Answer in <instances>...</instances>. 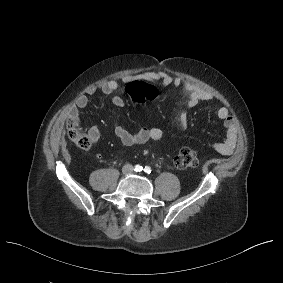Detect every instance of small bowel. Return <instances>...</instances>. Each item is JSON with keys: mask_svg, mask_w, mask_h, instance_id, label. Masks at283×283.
Segmentation results:
<instances>
[{"mask_svg": "<svg viewBox=\"0 0 283 283\" xmlns=\"http://www.w3.org/2000/svg\"><path fill=\"white\" fill-rule=\"evenodd\" d=\"M136 80L146 81L151 83L159 84L160 86L180 88L188 94L187 105L188 107H194L200 102L212 100V95L207 91L199 88L193 83L183 81L180 77L173 76L167 72H143L138 75H126L123 77V81L126 83L133 82ZM118 89V82L115 80H109L103 82L97 86L90 88L86 94L80 95L74 106L70 110V117L75 121L79 122V109H84L88 105V95H92L97 91L110 95ZM113 107L118 109L124 105V99L121 96H115L113 98ZM217 116L223 121V125L226 129V137L221 142L212 144L214 150L222 155H230L235 149L237 142L238 128L234 118L229 113L228 109L224 105H219L216 110ZM113 131L116 137L125 146H137L142 145L148 141L160 142L164 138L163 131L158 127H142L137 131L130 132L124 129L118 122L115 114L111 117ZM180 127L186 129L187 118L181 117L179 120ZM88 136L91 140L92 146L95 147L100 140V130L97 126H92L88 131Z\"/></svg>", "mask_w": 283, "mask_h": 283, "instance_id": "c3829d8e", "label": "small bowel"}]
</instances>
